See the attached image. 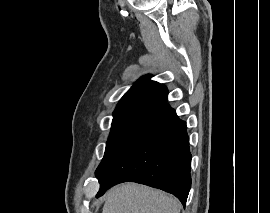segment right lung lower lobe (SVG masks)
<instances>
[{"mask_svg": "<svg viewBox=\"0 0 270 213\" xmlns=\"http://www.w3.org/2000/svg\"><path fill=\"white\" fill-rule=\"evenodd\" d=\"M191 158L186 123L168 103L159 105L97 175V197L113 185L132 181L169 192L185 205Z\"/></svg>", "mask_w": 270, "mask_h": 213, "instance_id": "1", "label": "right lung lower lobe"}]
</instances>
